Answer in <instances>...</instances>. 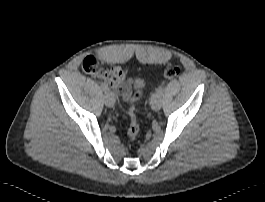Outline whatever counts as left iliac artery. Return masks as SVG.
Instances as JSON below:
<instances>
[{
  "mask_svg": "<svg viewBox=\"0 0 265 202\" xmlns=\"http://www.w3.org/2000/svg\"><path fill=\"white\" fill-rule=\"evenodd\" d=\"M163 93H164V87L163 86H161V87H159L157 90H156V92L155 93H153L152 95H151V100H152V98L154 97V95H158V96H162L163 95ZM150 100V101H151Z\"/></svg>",
  "mask_w": 265,
  "mask_h": 202,
  "instance_id": "44dca946",
  "label": "left iliac artery"
}]
</instances>
